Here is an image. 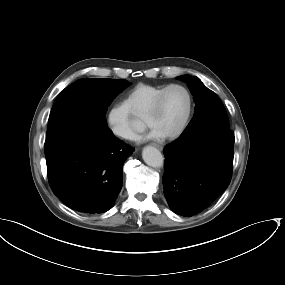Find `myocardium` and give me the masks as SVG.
Here are the masks:
<instances>
[{
  "label": "myocardium",
  "mask_w": 285,
  "mask_h": 285,
  "mask_svg": "<svg viewBox=\"0 0 285 285\" xmlns=\"http://www.w3.org/2000/svg\"><path fill=\"white\" fill-rule=\"evenodd\" d=\"M174 87L181 88L186 93L187 109H186L185 115H184L181 123L177 127V129L175 131H173L172 133L160 135V137L162 139H169L170 140V139H175V138L179 137L184 132V130L186 129V127L189 123L191 114H192V110H193V99H192V95H191V92L189 91V89L186 86H184L183 84L171 83V84L166 85L165 87H163L159 91V93L157 94V96L155 97L153 102L151 103L150 107L146 111V113L144 115V120H146L148 117L154 115L160 109L164 95L166 94V92L169 89L174 88Z\"/></svg>",
  "instance_id": "obj_1"
}]
</instances>
